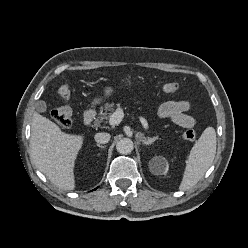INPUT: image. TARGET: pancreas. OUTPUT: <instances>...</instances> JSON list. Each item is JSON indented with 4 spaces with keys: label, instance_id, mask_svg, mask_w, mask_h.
Wrapping results in <instances>:
<instances>
[{
    "label": "pancreas",
    "instance_id": "cf45deb5",
    "mask_svg": "<svg viewBox=\"0 0 248 248\" xmlns=\"http://www.w3.org/2000/svg\"><path fill=\"white\" fill-rule=\"evenodd\" d=\"M113 107H114V104L113 103H111V104L106 103L105 106H104L105 113H103V115L100 116V118H98L95 121L94 126H97L98 127L101 124V120L108 119V114H110V113H108V111L112 112L113 111Z\"/></svg>",
    "mask_w": 248,
    "mask_h": 248
}]
</instances>
